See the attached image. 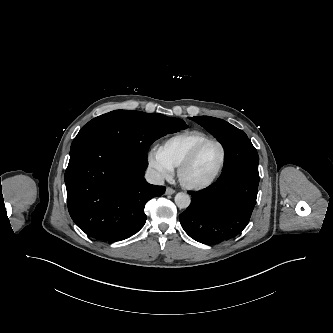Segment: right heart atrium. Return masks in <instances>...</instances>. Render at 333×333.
<instances>
[{
    "mask_svg": "<svg viewBox=\"0 0 333 333\" xmlns=\"http://www.w3.org/2000/svg\"><path fill=\"white\" fill-rule=\"evenodd\" d=\"M147 164L150 171L158 179H168L173 175L174 167L163 157L159 148L150 149L147 155Z\"/></svg>",
    "mask_w": 333,
    "mask_h": 333,
    "instance_id": "right-heart-atrium-1",
    "label": "right heart atrium"
}]
</instances>
